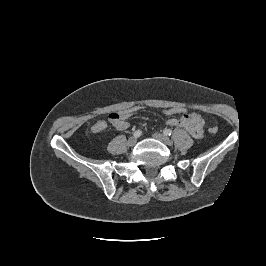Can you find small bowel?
Masks as SVG:
<instances>
[{
	"mask_svg": "<svg viewBox=\"0 0 266 266\" xmlns=\"http://www.w3.org/2000/svg\"><path fill=\"white\" fill-rule=\"evenodd\" d=\"M167 123L173 127H182L189 132L194 138H201L203 135L204 121L197 113H186L181 118H170ZM118 130H126L129 127V123L126 120H122L114 125ZM107 128V122L105 120L96 121L91 131L93 133H100Z\"/></svg>",
	"mask_w": 266,
	"mask_h": 266,
	"instance_id": "c3829d8e",
	"label": "small bowel"
}]
</instances>
